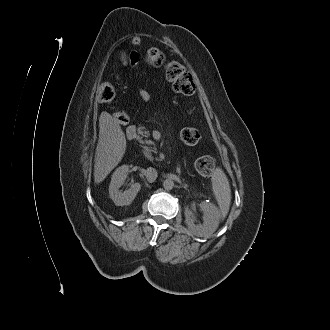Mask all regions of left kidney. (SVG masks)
I'll return each mask as SVG.
<instances>
[{"label":"left kidney","instance_id":"5707ae66","mask_svg":"<svg viewBox=\"0 0 330 330\" xmlns=\"http://www.w3.org/2000/svg\"><path fill=\"white\" fill-rule=\"evenodd\" d=\"M203 212V224L195 225L192 218V210L185 209V223L189 231L197 237H207L215 232L219 225L220 213L218 208L212 203L203 201L199 204Z\"/></svg>","mask_w":330,"mask_h":330}]
</instances>
